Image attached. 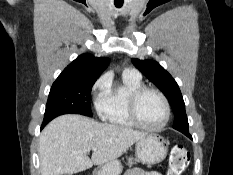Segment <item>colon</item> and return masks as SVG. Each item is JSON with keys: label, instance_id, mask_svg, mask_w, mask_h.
Wrapping results in <instances>:
<instances>
[{"label": "colon", "instance_id": "5ec220e1", "mask_svg": "<svg viewBox=\"0 0 233 175\" xmlns=\"http://www.w3.org/2000/svg\"><path fill=\"white\" fill-rule=\"evenodd\" d=\"M189 162V150L182 144L173 146L169 154L167 175H181Z\"/></svg>", "mask_w": 233, "mask_h": 175}]
</instances>
